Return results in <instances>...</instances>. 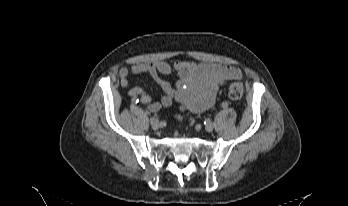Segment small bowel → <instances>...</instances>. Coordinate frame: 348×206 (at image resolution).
<instances>
[{"label":"small bowel","instance_id":"1","mask_svg":"<svg viewBox=\"0 0 348 206\" xmlns=\"http://www.w3.org/2000/svg\"><path fill=\"white\" fill-rule=\"evenodd\" d=\"M173 72L178 75L175 86L163 79V76ZM130 73L150 76L161 88L160 101H152L141 87H130L128 79ZM241 78V71L234 66L204 62L135 63L129 68L123 67L119 70L121 87L128 90V95L134 103L140 102L152 113L158 112L163 107H169L174 101L178 102L183 110L205 111L213 105L221 84Z\"/></svg>","mask_w":348,"mask_h":206}]
</instances>
